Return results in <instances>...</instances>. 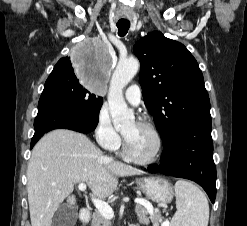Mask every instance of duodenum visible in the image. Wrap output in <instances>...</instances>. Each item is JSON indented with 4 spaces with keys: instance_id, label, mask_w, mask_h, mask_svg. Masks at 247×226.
<instances>
[{
    "instance_id": "410a0bca",
    "label": "duodenum",
    "mask_w": 247,
    "mask_h": 226,
    "mask_svg": "<svg viewBox=\"0 0 247 226\" xmlns=\"http://www.w3.org/2000/svg\"><path fill=\"white\" fill-rule=\"evenodd\" d=\"M80 220L83 222V223H86V222H88L89 221V219H90V216H91V213H90V211H89V209H87V208H82L81 210H80Z\"/></svg>"
}]
</instances>
